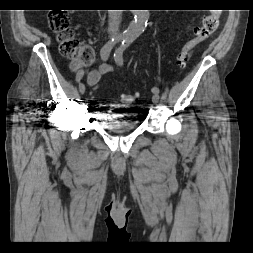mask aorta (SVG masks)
<instances>
[{"instance_id": "obj_1", "label": "aorta", "mask_w": 253, "mask_h": 253, "mask_svg": "<svg viewBox=\"0 0 253 253\" xmlns=\"http://www.w3.org/2000/svg\"><path fill=\"white\" fill-rule=\"evenodd\" d=\"M133 14L134 20L123 33L125 39L133 40L140 36L144 32L149 19V10H133Z\"/></svg>"}]
</instances>
